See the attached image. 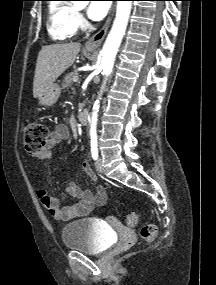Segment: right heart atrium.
<instances>
[{
  "mask_svg": "<svg viewBox=\"0 0 216 285\" xmlns=\"http://www.w3.org/2000/svg\"><path fill=\"white\" fill-rule=\"evenodd\" d=\"M76 23L78 27H83L85 25V20L81 13H76Z\"/></svg>",
  "mask_w": 216,
  "mask_h": 285,
  "instance_id": "obj_1",
  "label": "right heart atrium"
}]
</instances>
